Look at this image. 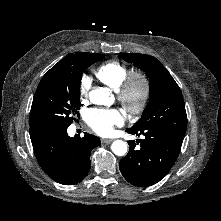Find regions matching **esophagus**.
<instances>
[{"instance_id":"obj_1","label":"esophagus","mask_w":221,"mask_h":221,"mask_svg":"<svg viewBox=\"0 0 221 221\" xmlns=\"http://www.w3.org/2000/svg\"><path fill=\"white\" fill-rule=\"evenodd\" d=\"M101 142L105 143V144H109L112 142V140L111 139H101Z\"/></svg>"}]
</instances>
